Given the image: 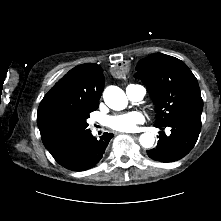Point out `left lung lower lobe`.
Wrapping results in <instances>:
<instances>
[{
    "mask_svg": "<svg viewBox=\"0 0 221 221\" xmlns=\"http://www.w3.org/2000/svg\"><path fill=\"white\" fill-rule=\"evenodd\" d=\"M161 130L171 128V135L160 132L156 148L147 151L150 158L168 163L186 156L197 142L201 130V113H191L171 119L165 126L155 125Z\"/></svg>",
    "mask_w": 221,
    "mask_h": 221,
    "instance_id": "left-lung-lower-lobe-1",
    "label": "left lung lower lobe"
}]
</instances>
